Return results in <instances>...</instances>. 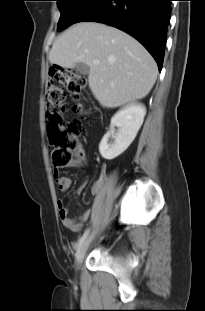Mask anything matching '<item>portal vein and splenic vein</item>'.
I'll list each match as a JSON object with an SVG mask.
<instances>
[{
	"label": "portal vein and splenic vein",
	"mask_w": 205,
	"mask_h": 311,
	"mask_svg": "<svg viewBox=\"0 0 205 311\" xmlns=\"http://www.w3.org/2000/svg\"><path fill=\"white\" fill-rule=\"evenodd\" d=\"M100 61L99 60H93V64H99Z\"/></svg>",
	"instance_id": "18ae733b"
}]
</instances>
